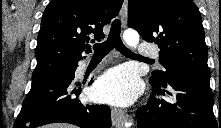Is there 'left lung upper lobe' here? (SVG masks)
Segmentation results:
<instances>
[{
	"instance_id": "obj_1",
	"label": "left lung upper lobe",
	"mask_w": 221,
	"mask_h": 128,
	"mask_svg": "<svg viewBox=\"0 0 221 128\" xmlns=\"http://www.w3.org/2000/svg\"><path fill=\"white\" fill-rule=\"evenodd\" d=\"M129 27L160 48L164 71L150 81L163 86L177 71L210 76L202 19L192 0H129Z\"/></svg>"
}]
</instances>
